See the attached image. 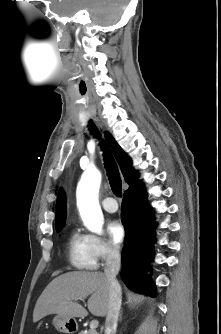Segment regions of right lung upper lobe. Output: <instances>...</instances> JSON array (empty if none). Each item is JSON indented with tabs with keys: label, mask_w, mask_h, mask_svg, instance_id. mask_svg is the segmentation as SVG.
Listing matches in <instances>:
<instances>
[{
	"label": "right lung upper lobe",
	"mask_w": 221,
	"mask_h": 334,
	"mask_svg": "<svg viewBox=\"0 0 221 334\" xmlns=\"http://www.w3.org/2000/svg\"><path fill=\"white\" fill-rule=\"evenodd\" d=\"M106 139L111 146V149L114 153V156L121 168L122 174L124 176L125 181L129 184V186H133L137 184L138 181V173L131 167V159L124 153L122 148L117 144L115 139L110 135H106ZM66 216L65 210V197L63 192L60 190L56 202V214H55V222L56 228H62L64 226V220Z\"/></svg>",
	"instance_id": "obj_1"
}]
</instances>
